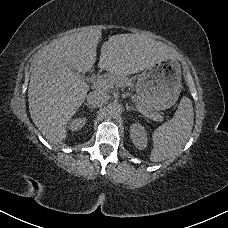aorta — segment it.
I'll return each mask as SVG.
<instances>
[{"instance_id":"1","label":"aorta","mask_w":228,"mask_h":228,"mask_svg":"<svg viewBox=\"0 0 228 228\" xmlns=\"http://www.w3.org/2000/svg\"><path fill=\"white\" fill-rule=\"evenodd\" d=\"M107 112L109 116H116L121 112V107L119 104L113 103L108 106Z\"/></svg>"}]
</instances>
